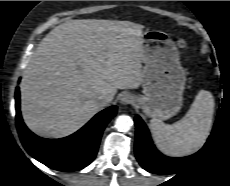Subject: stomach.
I'll return each instance as SVG.
<instances>
[{"label":"stomach","instance_id":"obj_1","mask_svg":"<svg viewBox=\"0 0 230 186\" xmlns=\"http://www.w3.org/2000/svg\"><path fill=\"white\" fill-rule=\"evenodd\" d=\"M142 38L144 95L136 97V104L147 116L166 120L182 107L185 70L175 43L166 33L147 30Z\"/></svg>","mask_w":230,"mask_h":186}]
</instances>
